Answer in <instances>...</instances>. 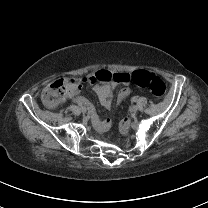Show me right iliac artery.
Segmentation results:
<instances>
[{
	"instance_id": "1",
	"label": "right iliac artery",
	"mask_w": 208,
	"mask_h": 208,
	"mask_svg": "<svg viewBox=\"0 0 208 208\" xmlns=\"http://www.w3.org/2000/svg\"><path fill=\"white\" fill-rule=\"evenodd\" d=\"M78 106L81 107V108L84 107L82 103H78Z\"/></svg>"
}]
</instances>
